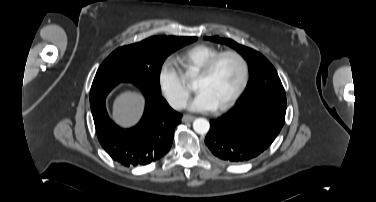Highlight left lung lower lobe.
<instances>
[{"instance_id":"obj_1","label":"left lung lower lobe","mask_w":376,"mask_h":202,"mask_svg":"<svg viewBox=\"0 0 376 202\" xmlns=\"http://www.w3.org/2000/svg\"><path fill=\"white\" fill-rule=\"evenodd\" d=\"M285 113L286 106L267 99L239 105L210 121L205 143L222 160L248 161L272 144L284 125Z\"/></svg>"}]
</instances>
